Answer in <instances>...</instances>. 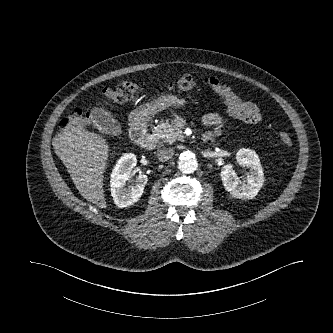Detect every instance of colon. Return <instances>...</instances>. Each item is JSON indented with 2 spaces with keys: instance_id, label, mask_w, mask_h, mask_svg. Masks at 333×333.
Returning <instances> with one entry per match:
<instances>
[{
  "instance_id": "obj_1",
  "label": "colon",
  "mask_w": 333,
  "mask_h": 333,
  "mask_svg": "<svg viewBox=\"0 0 333 333\" xmlns=\"http://www.w3.org/2000/svg\"><path fill=\"white\" fill-rule=\"evenodd\" d=\"M196 87V81L191 76H183L175 82L167 85L169 90L190 91ZM139 86L135 82L125 81L115 88H104L102 93L104 98L109 102H125L132 99L138 92ZM89 122V113L80 109H75L71 114L62 119L57 126V133H67L70 129L77 126H84ZM280 143L291 148L293 141L290 135L286 132H280L278 135Z\"/></svg>"
}]
</instances>
